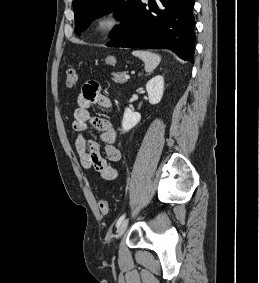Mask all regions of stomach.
<instances>
[{"label":"stomach","mask_w":259,"mask_h":283,"mask_svg":"<svg viewBox=\"0 0 259 283\" xmlns=\"http://www.w3.org/2000/svg\"><path fill=\"white\" fill-rule=\"evenodd\" d=\"M105 61L107 64H111V65L116 63V59L113 56H108Z\"/></svg>","instance_id":"obj_1"}]
</instances>
